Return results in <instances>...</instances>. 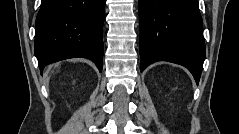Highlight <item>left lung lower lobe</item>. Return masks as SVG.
Here are the masks:
<instances>
[{
    "label": "left lung lower lobe",
    "mask_w": 239,
    "mask_h": 134,
    "mask_svg": "<svg viewBox=\"0 0 239 134\" xmlns=\"http://www.w3.org/2000/svg\"><path fill=\"white\" fill-rule=\"evenodd\" d=\"M140 70L168 61L189 69L199 83L205 60L198 0H139Z\"/></svg>",
    "instance_id": "1"
}]
</instances>
